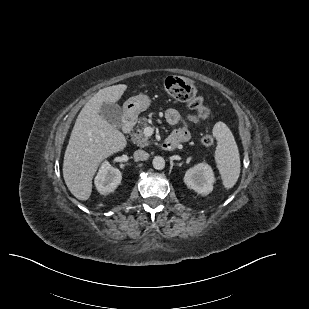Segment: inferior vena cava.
Returning a JSON list of instances; mask_svg holds the SVG:
<instances>
[{
  "label": "inferior vena cava",
  "mask_w": 309,
  "mask_h": 309,
  "mask_svg": "<svg viewBox=\"0 0 309 309\" xmlns=\"http://www.w3.org/2000/svg\"><path fill=\"white\" fill-rule=\"evenodd\" d=\"M149 158V154L144 150H137L134 152V159L138 161H143Z\"/></svg>",
  "instance_id": "602c4592"
}]
</instances>
